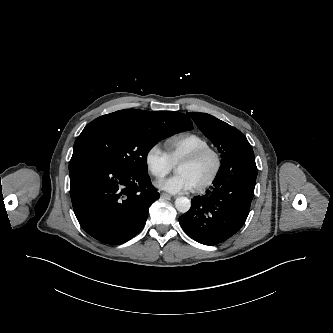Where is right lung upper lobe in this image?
<instances>
[{
  "label": "right lung upper lobe",
  "instance_id": "1",
  "mask_svg": "<svg viewBox=\"0 0 333 333\" xmlns=\"http://www.w3.org/2000/svg\"><path fill=\"white\" fill-rule=\"evenodd\" d=\"M105 116L111 118L130 119L148 125H181L185 128V130H190L193 127L191 120L185 114L173 111L125 109L107 114Z\"/></svg>",
  "mask_w": 333,
  "mask_h": 333
}]
</instances>
